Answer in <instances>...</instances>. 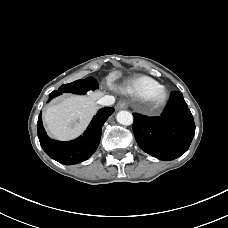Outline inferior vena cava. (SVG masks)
<instances>
[{"mask_svg": "<svg viewBox=\"0 0 228 228\" xmlns=\"http://www.w3.org/2000/svg\"><path fill=\"white\" fill-rule=\"evenodd\" d=\"M114 102L115 98L110 95H105L97 101V103L101 106H111L112 104H114Z\"/></svg>", "mask_w": 228, "mask_h": 228, "instance_id": "inferior-vena-cava-1", "label": "inferior vena cava"}]
</instances>
